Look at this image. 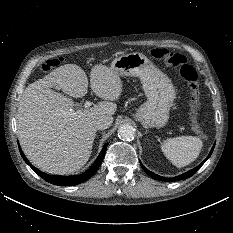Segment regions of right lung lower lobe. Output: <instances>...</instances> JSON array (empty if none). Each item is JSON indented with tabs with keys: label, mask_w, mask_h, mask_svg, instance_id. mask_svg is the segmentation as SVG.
Masks as SVG:
<instances>
[{
	"label": "right lung lower lobe",
	"mask_w": 233,
	"mask_h": 233,
	"mask_svg": "<svg viewBox=\"0 0 233 233\" xmlns=\"http://www.w3.org/2000/svg\"><path fill=\"white\" fill-rule=\"evenodd\" d=\"M107 145L108 144H105L101 153L99 154L95 162L91 165V167L85 173L79 176H55V175H49V174L43 173L31 165V163L28 161V159L25 157L24 153L22 152L20 146H19V150H20L21 156L23 157L24 161L44 180H46L49 183L59 185V186H70V185L80 184L86 181L87 179H89L91 176H93V174L98 170V168L100 167L103 161Z\"/></svg>",
	"instance_id": "98d812e1"
}]
</instances>
